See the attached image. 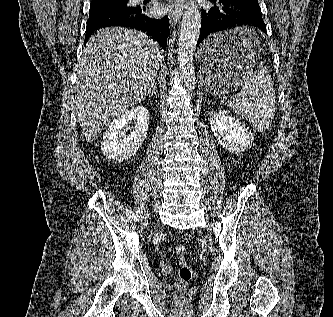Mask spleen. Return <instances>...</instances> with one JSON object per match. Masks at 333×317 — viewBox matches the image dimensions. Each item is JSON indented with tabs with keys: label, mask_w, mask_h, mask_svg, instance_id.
I'll use <instances>...</instances> for the list:
<instances>
[{
	"label": "spleen",
	"mask_w": 333,
	"mask_h": 317,
	"mask_svg": "<svg viewBox=\"0 0 333 317\" xmlns=\"http://www.w3.org/2000/svg\"><path fill=\"white\" fill-rule=\"evenodd\" d=\"M234 34L238 43L245 47L260 44L257 34L251 28L240 27ZM229 106L248 119L258 131L266 130L275 113V89L268 69L260 66L229 102Z\"/></svg>",
	"instance_id": "1"
}]
</instances>
